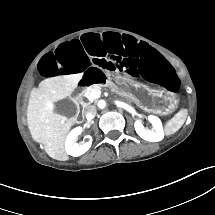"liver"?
Instances as JSON below:
<instances>
[{
	"label": "liver",
	"mask_w": 215,
	"mask_h": 215,
	"mask_svg": "<svg viewBox=\"0 0 215 215\" xmlns=\"http://www.w3.org/2000/svg\"><path fill=\"white\" fill-rule=\"evenodd\" d=\"M84 73L60 75L43 80L39 88L31 91L27 123L32 138L43 144L46 153L59 159L64 152V142L76 118L68 119L54 113V102L70 96Z\"/></svg>",
	"instance_id": "obj_1"
}]
</instances>
